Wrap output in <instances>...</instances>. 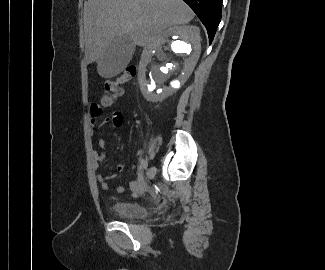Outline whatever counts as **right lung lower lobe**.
<instances>
[{"label": "right lung lower lobe", "mask_w": 325, "mask_h": 270, "mask_svg": "<svg viewBox=\"0 0 325 270\" xmlns=\"http://www.w3.org/2000/svg\"><path fill=\"white\" fill-rule=\"evenodd\" d=\"M206 27L211 43L221 20L222 0H184Z\"/></svg>", "instance_id": "right-lung-lower-lobe-1"}]
</instances>
